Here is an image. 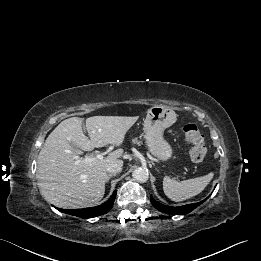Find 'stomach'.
I'll use <instances>...</instances> for the list:
<instances>
[{
  "label": "stomach",
  "instance_id": "0dacf381",
  "mask_svg": "<svg viewBox=\"0 0 261 261\" xmlns=\"http://www.w3.org/2000/svg\"><path fill=\"white\" fill-rule=\"evenodd\" d=\"M176 121V113L165 106L155 105L147 111L144 120V138L152 155L159 160L166 161L171 158L173 150L164 139V130Z\"/></svg>",
  "mask_w": 261,
  "mask_h": 261
}]
</instances>
